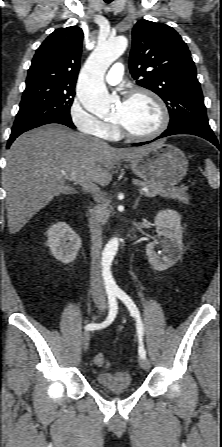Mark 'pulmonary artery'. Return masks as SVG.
<instances>
[{
  "label": "pulmonary artery",
  "mask_w": 222,
  "mask_h": 447,
  "mask_svg": "<svg viewBox=\"0 0 222 447\" xmlns=\"http://www.w3.org/2000/svg\"><path fill=\"white\" fill-rule=\"evenodd\" d=\"M123 76V65L116 63L112 66L111 70L106 76V82L109 85H117L121 82Z\"/></svg>",
  "instance_id": "1"
}]
</instances>
